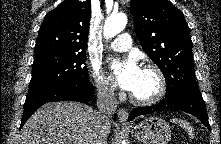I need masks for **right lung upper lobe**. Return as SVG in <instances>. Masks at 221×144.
<instances>
[{
    "label": "right lung upper lobe",
    "mask_w": 221,
    "mask_h": 144,
    "mask_svg": "<svg viewBox=\"0 0 221 144\" xmlns=\"http://www.w3.org/2000/svg\"><path fill=\"white\" fill-rule=\"evenodd\" d=\"M91 2L67 0L44 17L35 44L41 52L86 53Z\"/></svg>",
    "instance_id": "1"
}]
</instances>
